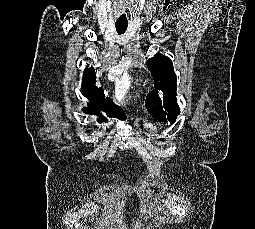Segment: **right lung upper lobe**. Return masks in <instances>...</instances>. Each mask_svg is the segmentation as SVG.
<instances>
[{
	"label": "right lung upper lobe",
	"mask_w": 255,
	"mask_h": 229,
	"mask_svg": "<svg viewBox=\"0 0 255 229\" xmlns=\"http://www.w3.org/2000/svg\"><path fill=\"white\" fill-rule=\"evenodd\" d=\"M96 73L93 67L86 68L83 74L81 93L89 99L88 107H84L82 110L89 115H98V122L107 121V119L101 115L100 111L107 113L109 117H116L120 120H125L126 116L122 110L115 108L113 101L106 97L102 88H98L96 85Z\"/></svg>",
	"instance_id": "1"
}]
</instances>
